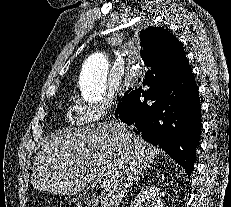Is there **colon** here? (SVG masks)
<instances>
[{"instance_id": "obj_1", "label": "colon", "mask_w": 231, "mask_h": 207, "mask_svg": "<svg viewBox=\"0 0 231 207\" xmlns=\"http://www.w3.org/2000/svg\"><path fill=\"white\" fill-rule=\"evenodd\" d=\"M57 207H81V205L74 199L63 198L58 202Z\"/></svg>"}]
</instances>
